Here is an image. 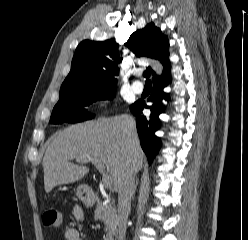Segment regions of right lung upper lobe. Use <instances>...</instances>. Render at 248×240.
Instances as JSON below:
<instances>
[{"instance_id": "right-lung-upper-lobe-1", "label": "right lung upper lobe", "mask_w": 248, "mask_h": 240, "mask_svg": "<svg viewBox=\"0 0 248 240\" xmlns=\"http://www.w3.org/2000/svg\"><path fill=\"white\" fill-rule=\"evenodd\" d=\"M125 45L138 57L145 56L158 60L163 66L161 75L151 70L153 82L170 74L169 42L161 30L150 23L143 29L131 34ZM119 57L118 44L114 39L95 42L82 41L76 48L72 59L71 71L64 80L60 92L67 89L95 88L116 89Z\"/></svg>"}]
</instances>
